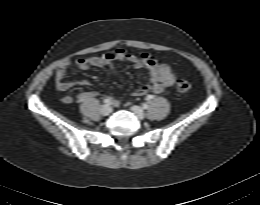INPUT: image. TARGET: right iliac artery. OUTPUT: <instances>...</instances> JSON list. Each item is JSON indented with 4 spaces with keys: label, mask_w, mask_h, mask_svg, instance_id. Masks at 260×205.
Instances as JSON below:
<instances>
[{
    "label": "right iliac artery",
    "mask_w": 260,
    "mask_h": 205,
    "mask_svg": "<svg viewBox=\"0 0 260 205\" xmlns=\"http://www.w3.org/2000/svg\"><path fill=\"white\" fill-rule=\"evenodd\" d=\"M105 104H110V100L109 99H104L103 101Z\"/></svg>",
    "instance_id": "1"
}]
</instances>
